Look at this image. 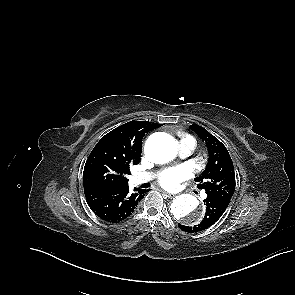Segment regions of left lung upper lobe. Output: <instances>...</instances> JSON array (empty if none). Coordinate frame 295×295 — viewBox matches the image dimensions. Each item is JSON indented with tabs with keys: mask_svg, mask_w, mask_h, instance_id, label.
Returning <instances> with one entry per match:
<instances>
[{
	"mask_svg": "<svg viewBox=\"0 0 295 295\" xmlns=\"http://www.w3.org/2000/svg\"><path fill=\"white\" fill-rule=\"evenodd\" d=\"M206 143L209 158L206 169L195 178L199 189H205L207 196L231 199L235 190V174L232 159L226 147L205 128L190 125Z\"/></svg>",
	"mask_w": 295,
	"mask_h": 295,
	"instance_id": "left-lung-upper-lobe-1",
	"label": "left lung upper lobe"
}]
</instances>
